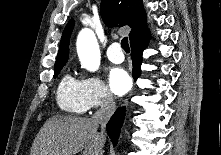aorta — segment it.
<instances>
[{
	"label": "aorta",
	"mask_w": 221,
	"mask_h": 155,
	"mask_svg": "<svg viewBox=\"0 0 221 155\" xmlns=\"http://www.w3.org/2000/svg\"><path fill=\"white\" fill-rule=\"evenodd\" d=\"M77 53L84 68L90 72L98 70L101 61L100 49L94 32L85 28L77 38Z\"/></svg>",
	"instance_id": "aorta-1"
}]
</instances>
